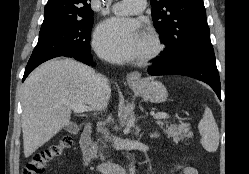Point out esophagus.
Wrapping results in <instances>:
<instances>
[{"label":"esophagus","instance_id":"34e87169","mask_svg":"<svg viewBox=\"0 0 249 174\" xmlns=\"http://www.w3.org/2000/svg\"><path fill=\"white\" fill-rule=\"evenodd\" d=\"M141 80V74L137 71L130 72L127 75V82L130 85H137Z\"/></svg>","mask_w":249,"mask_h":174}]
</instances>
